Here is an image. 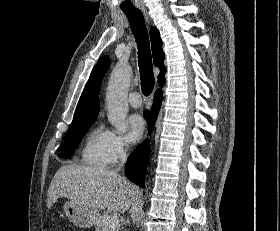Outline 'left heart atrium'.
Masks as SVG:
<instances>
[{
	"label": "left heart atrium",
	"instance_id": "left-heart-atrium-1",
	"mask_svg": "<svg viewBox=\"0 0 280 231\" xmlns=\"http://www.w3.org/2000/svg\"><path fill=\"white\" fill-rule=\"evenodd\" d=\"M128 137L131 142H138L145 133V122L139 114L129 116L127 121Z\"/></svg>",
	"mask_w": 280,
	"mask_h": 231
}]
</instances>
